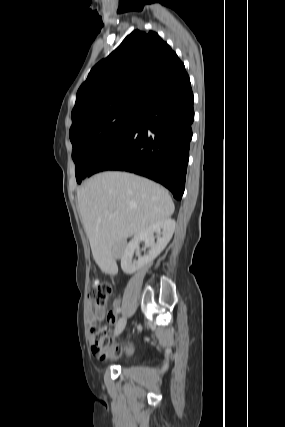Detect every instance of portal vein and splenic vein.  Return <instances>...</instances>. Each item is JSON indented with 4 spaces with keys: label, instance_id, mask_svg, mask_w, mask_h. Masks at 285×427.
Returning <instances> with one entry per match:
<instances>
[{
    "label": "portal vein and splenic vein",
    "instance_id": "obj_1",
    "mask_svg": "<svg viewBox=\"0 0 285 427\" xmlns=\"http://www.w3.org/2000/svg\"><path fill=\"white\" fill-rule=\"evenodd\" d=\"M117 215V213H112V214H110V216L111 217H114V216H116Z\"/></svg>",
    "mask_w": 285,
    "mask_h": 427
}]
</instances>
